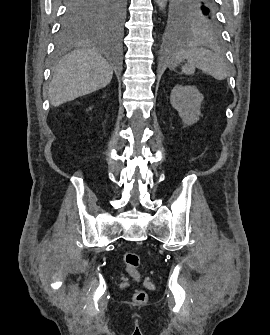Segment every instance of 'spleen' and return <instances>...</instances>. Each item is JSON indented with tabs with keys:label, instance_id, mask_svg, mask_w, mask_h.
Here are the masks:
<instances>
[{
	"label": "spleen",
	"instance_id": "1",
	"mask_svg": "<svg viewBox=\"0 0 270 335\" xmlns=\"http://www.w3.org/2000/svg\"><path fill=\"white\" fill-rule=\"evenodd\" d=\"M171 56V60L167 62L169 68H175L182 60H189L190 64H185L182 68L184 74H194L195 68H199L208 76H213L215 80H225L228 76L227 64L220 54L201 48L197 42L177 46L172 50Z\"/></svg>",
	"mask_w": 270,
	"mask_h": 335
}]
</instances>
